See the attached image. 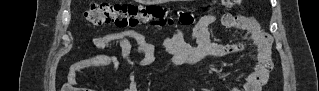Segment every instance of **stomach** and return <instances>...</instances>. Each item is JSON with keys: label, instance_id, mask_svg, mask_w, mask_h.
I'll use <instances>...</instances> for the list:
<instances>
[{"label": "stomach", "instance_id": "1", "mask_svg": "<svg viewBox=\"0 0 319 91\" xmlns=\"http://www.w3.org/2000/svg\"><path fill=\"white\" fill-rule=\"evenodd\" d=\"M142 2L144 4H157V3L164 2V0H143Z\"/></svg>", "mask_w": 319, "mask_h": 91}]
</instances>
